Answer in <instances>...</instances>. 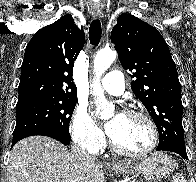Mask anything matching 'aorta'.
Wrapping results in <instances>:
<instances>
[{
    "label": "aorta",
    "mask_w": 196,
    "mask_h": 182,
    "mask_svg": "<svg viewBox=\"0 0 196 182\" xmlns=\"http://www.w3.org/2000/svg\"><path fill=\"white\" fill-rule=\"evenodd\" d=\"M116 59V52L112 49H102L97 52L94 59V93L96 95L99 107L101 108L100 118L107 120L113 115L114 105L107 102L104 91L100 86V77L110 67Z\"/></svg>",
    "instance_id": "aorta-1"
}]
</instances>
